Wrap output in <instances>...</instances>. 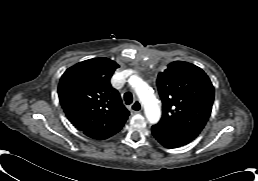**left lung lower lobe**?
Listing matches in <instances>:
<instances>
[{"instance_id":"1","label":"left lung lower lobe","mask_w":258,"mask_h":181,"mask_svg":"<svg viewBox=\"0 0 258 181\" xmlns=\"http://www.w3.org/2000/svg\"><path fill=\"white\" fill-rule=\"evenodd\" d=\"M152 134L160 144L167 148L180 147L196 137L161 125L152 126Z\"/></svg>"}]
</instances>
